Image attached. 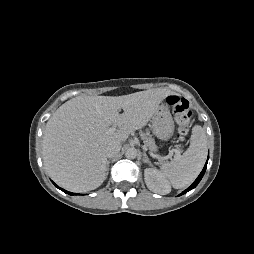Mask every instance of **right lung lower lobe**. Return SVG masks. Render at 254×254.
I'll list each match as a JSON object with an SVG mask.
<instances>
[{"mask_svg":"<svg viewBox=\"0 0 254 254\" xmlns=\"http://www.w3.org/2000/svg\"><path fill=\"white\" fill-rule=\"evenodd\" d=\"M53 184H54L57 188H59L60 190H62L63 192H65V193H67V194H69V195H78V194H76V193H71V192H69V191H66V190H64V189H62V188H60V187H58L54 182H53Z\"/></svg>","mask_w":254,"mask_h":254,"instance_id":"98d812e1","label":"right lung lower lobe"}]
</instances>
